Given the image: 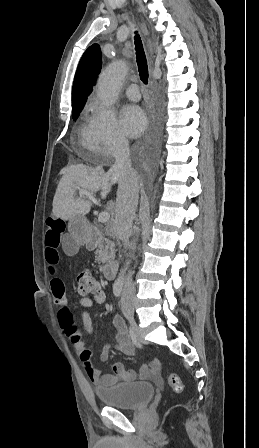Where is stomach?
<instances>
[{
  "instance_id": "1",
  "label": "stomach",
  "mask_w": 259,
  "mask_h": 448,
  "mask_svg": "<svg viewBox=\"0 0 259 448\" xmlns=\"http://www.w3.org/2000/svg\"><path fill=\"white\" fill-rule=\"evenodd\" d=\"M76 218L71 219L69 224V232L79 244H86L91 238V226L86 218H82L81 214H76Z\"/></svg>"
}]
</instances>
